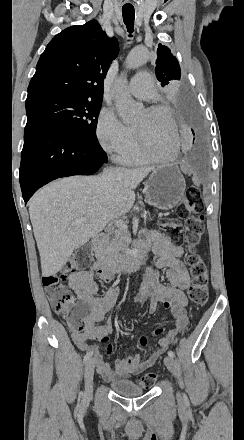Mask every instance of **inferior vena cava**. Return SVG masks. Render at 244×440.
Returning <instances> with one entry per match:
<instances>
[{
  "instance_id": "602c4592",
  "label": "inferior vena cava",
  "mask_w": 244,
  "mask_h": 440,
  "mask_svg": "<svg viewBox=\"0 0 244 440\" xmlns=\"http://www.w3.org/2000/svg\"><path fill=\"white\" fill-rule=\"evenodd\" d=\"M110 170H116V168H109V170H105V174H108V172H110Z\"/></svg>"
}]
</instances>
